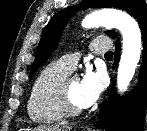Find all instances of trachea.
I'll return each mask as SVG.
<instances>
[{
	"mask_svg": "<svg viewBox=\"0 0 147 131\" xmlns=\"http://www.w3.org/2000/svg\"><path fill=\"white\" fill-rule=\"evenodd\" d=\"M104 56L106 58H112L113 57V52L112 51L106 52Z\"/></svg>",
	"mask_w": 147,
	"mask_h": 131,
	"instance_id": "3493384b",
	"label": "trachea"
}]
</instances>
